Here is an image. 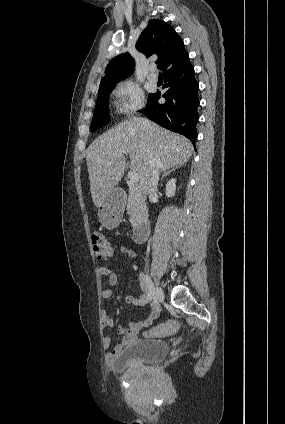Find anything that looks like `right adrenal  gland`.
Here are the masks:
<instances>
[{"label":"right adrenal gland","instance_id":"right-adrenal-gland-1","mask_svg":"<svg viewBox=\"0 0 285 424\" xmlns=\"http://www.w3.org/2000/svg\"><path fill=\"white\" fill-rule=\"evenodd\" d=\"M177 168H178V166H174V167H170V168L166 169V170L163 172V174H162L161 180H162L164 177H166V176H168L169 174H171L172 172H174Z\"/></svg>","mask_w":285,"mask_h":424}]
</instances>
